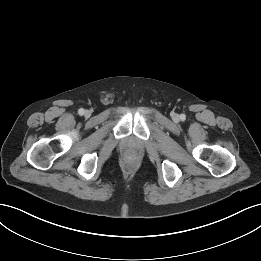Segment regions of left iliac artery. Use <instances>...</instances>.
I'll return each mask as SVG.
<instances>
[{"instance_id": "left-iliac-artery-1", "label": "left iliac artery", "mask_w": 261, "mask_h": 261, "mask_svg": "<svg viewBox=\"0 0 261 261\" xmlns=\"http://www.w3.org/2000/svg\"><path fill=\"white\" fill-rule=\"evenodd\" d=\"M180 119H181L182 121H184V120L186 119V116H185L184 114H181V115H180Z\"/></svg>"}]
</instances>
